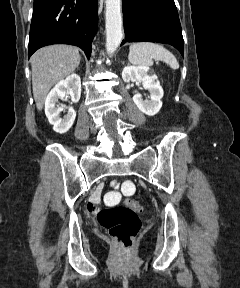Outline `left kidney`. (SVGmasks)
I'll return each mask as SVG.
<instances>
[{
  "instance_id": "1",
  "label": "left kidney",
  "mask_w": 240,
  "mask_h": 288,
  "mask_svg": "<svg viewBox=\"0 0 240 288\" xmlns=\"http://www.w3.org/2000/svg\"><path fill=\"white\" fill-rule=\"evenodd\" d=\"M124 82L142 83L144 89L150 93L149 99H143L142 95L137 93L133 96V101L138 109L148 116L156 115L162 107L161 98L163 89L155 74L146 66H126L122 71Z\"/></svg>"
}]
</instances>
